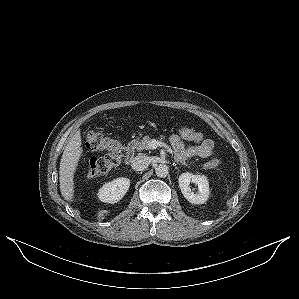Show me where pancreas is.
Masks as SVG:
<instances>
[{"mask_svg":"<svg viewBox=\"0 0 299 299\" xmlns=\"http://www.w3.org/2000/svg\"><path fill=\"white\" fill-rule=\"evenodd\" d=\"M154 140L151 139L149 136H144L140 141L135 143V148L137 151L147 150L149 149V143Z\"/></svg>","mask_w":299,"mask_h":299,"instance_id":"cf45deb5","label":"pancreas"}]
</instances>
